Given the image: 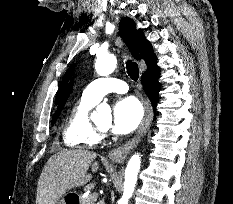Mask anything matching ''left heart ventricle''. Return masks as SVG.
Listing matches in <instances>:
<instances>
[{"label":"left heart ventricle","instance_id":"b2bd125f","mask_svg":"<svg viewBox=\"0 0 233 204\" xmlns=\"http://www.w3.org/2000/svg\"><path fill=\"white\" fill-rule=\"evenodd\" d=\"M98 126H99L100 128H102V129H108L109 126H110V119L107 118V119H105V120L99 122V123H98Z\"/></svg>","mask_w":233,"mask_h":204}]
</instances>
